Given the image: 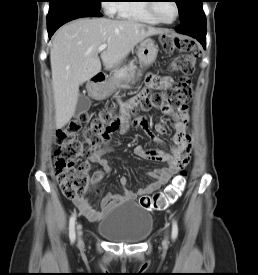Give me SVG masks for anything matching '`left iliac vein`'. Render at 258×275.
Returning a JSON list of instances; mask_svg holds the SVG:
<instances>
[{
	"mask_svg": "<svg viewBox=\"0 0 258 275\" xmlns=\"http://www.w3.org/2000/svg\"><path fill=\"white\" fill-rule=\"evenodd\" d=\"M166 244H167V239H165V241H164L163 245L165 246Z\"/></svg>",
	"mask_w": 258,
	"mask_h": 275,
	"instance_id": "obj_1",
	"label": "left iliac vein"
}]
</instances>
